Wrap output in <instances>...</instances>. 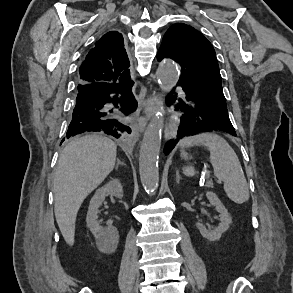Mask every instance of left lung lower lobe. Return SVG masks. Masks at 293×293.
I'll use <instances>...</instances> for the list:
<instances>
[{
  "mask_svg": "<svg viewBox=\"0 0 293 293\" xmlns=\"http://www.w3.org/2000/svg\"><path fill=\"white\" fill-rule=\"evenodd\" d=\"M182 89L184 94L179 95L173 90L167 97V103L173 104L179 113L180 126L176 139L166 144L165 154L174 148L179 139L197 133L223 131L236 136L225 105L206 101L193 91Z\"/></svg>",
  "mask_w": 293,
  "mask_h": 293,
  "instance_id": "1",
  "label": "left lung lower lobe"
}]
</instances>
